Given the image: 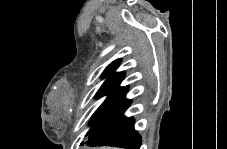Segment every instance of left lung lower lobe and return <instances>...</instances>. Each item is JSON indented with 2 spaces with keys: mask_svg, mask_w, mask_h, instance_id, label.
<instances>
[{
  "mask_svg": "<svg viewBox=\"0 0 227 149\" xmlns=\"http://www.w3.org/2000/svg\"><path fill=\"white\" fill-rule=\"evenodd\" d=\"M124 95L113 109L98 122L82 145L140 149L142 140L134 129V119L124 116L125 111L131 104V100L126 99Z\"/></svg>",
  "mask_w": 227,
  "mask_h": 149,
  "instance_id": "left-lung-lower-lobe-1",
  "label": "left lung lower lobe"
}]
</instances>
